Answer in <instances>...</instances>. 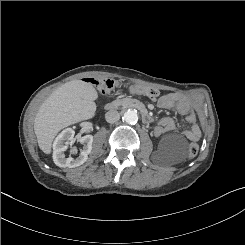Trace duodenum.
<instances>
[{
	"label": "duodenum",
	"instance_id": "1",
	"mask_svg": "<svg viewBox=\"0 0 245 245\" xmlns=\"http://www.w3.org/2000/svg\"><path fill=\"white\" fill-rule=\"evenodd\" d=\"M133 105L140 108L143 120L145 122L149 123L151 121V117L149 116L147 110L145 108H143V107H140L138 104H133ZM117 106H118L117 103H108V104L105 105L104 108L107 111H111V110L115 109Z\"/></svg>",
	"mask_w": 245,
	"mask_h": 245
}]
</instances>
